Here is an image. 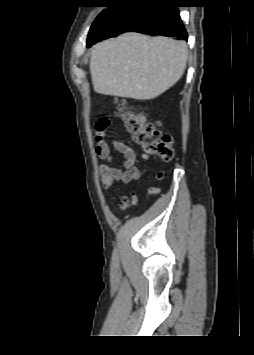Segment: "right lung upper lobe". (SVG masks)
Returning a JSON list of instances; mask_svg holds the SVG:
<instances>
[{"label": "right lung upper lobe", "instance_id": "cb5924a9", "mask_svg": "<svg viewBox=\"0 0 254 355\" xmlns=\"http://www.w3.org/2000/svg\"><path fill=\"white\" fill-rule=\"evenodd\" d=\"M107 3H113V4H125V3H131L139 0H105Z\"/></svg>", "mask_w": 254, "mask_h": 355}]
</instances>
